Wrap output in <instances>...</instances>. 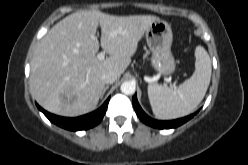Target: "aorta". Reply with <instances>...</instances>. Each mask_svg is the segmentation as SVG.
I'll return each instance as SVG.
<instances>
[{
	"label": "aorta",
	"mask_w": 248,
	"mask_h": 165,
	"mask_svg": "<svg viewBox=\"0 0 248 165\" xmlns=\"http://www.w3.org/2000/svg\"><path fill=\"white\" fill-rule=\"evenodd\" d=\"M120 89H121L122 93H124L126 95H132L135 93L136 85H135V83H133L131 81H126V82H123L121 84Z\"/></svg>",
	"instance_id": "aorta-1"
}]
</instances>
